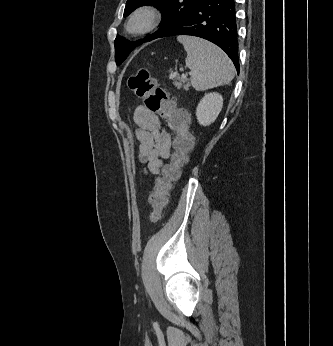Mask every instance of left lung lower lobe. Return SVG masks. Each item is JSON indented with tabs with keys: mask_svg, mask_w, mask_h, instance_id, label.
I'll return each mask as SVG.
<instances>
[{
	"mask_svg": "<svg viewBox=\"0 0 333 346\" xmlns=\"http://www.w3.org/2000/svg\"><path fill=\"white\" fill-rule=\"evenodd\" d=\"M191 35L223 49L239 73L235 0H198L187 15L160 37Z\"/></svg>",
	"mask_w": 333,
	"mask_h": 346,
	"instance_id": "1",
	"label": "left lung lower lobe"
}]
</instances>
